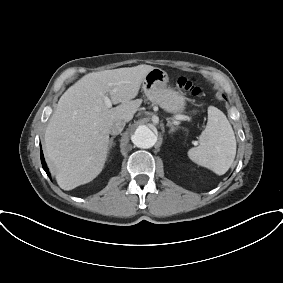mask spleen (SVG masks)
<instances>
[{
    "instance_id": "1",
    "label": "spleen",
    "mask_w": 283,
    "mask_h": 283,
    "mask_svg": "<svg viewBox=\"0 0 283 283\" xmlns=\"http://www.w3.org/2000/svg\"><path fill=\"white\" fill-rule=\"evenodd\" d=\"M236 155V139L225 114L214 106L208 107L206 128L199 136V146L188 151V157L196 164L218 175L225 174Z\"/></svg>"
}]
</instances>
